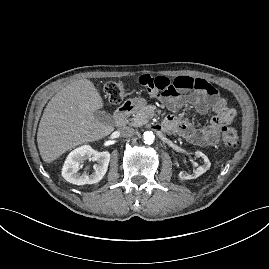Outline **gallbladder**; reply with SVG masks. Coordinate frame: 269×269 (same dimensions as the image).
Here are the masks:
<instances>
[{
  "label": "gallbladder",
  "instance_id": "gallbladder-1",
  "mask_svg": "<svg viewBox=\"0 0 269 269\" xmlns=\"http://www.w3.org/2000/svg\"><path fill=\"white\" fill-rule=\"evenodd\" d=\"M95 117L97 120H99L100 122L103 123H107V124H112L113 123V118L111 116V114L102 111V110H98L94 113Z\"/></svg>",
  "mask_w": 269,
  "mask_h": 269
}]
</instances>
